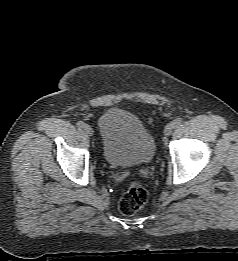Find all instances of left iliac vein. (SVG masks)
<instances>
[{
    "label": "left iliac vein",
    "instance_id": "1",
    "mask_svg": "<svg viewBox=\"0 0 238 261\" xmlns=\"http://www.w3.org/2000/svg\"><path fill=\"white\" fill-rule=\"evenodd\" d=\"M174 128H175V127H174L173 123L167 124V125L165 126V128H164V134H165L166 136L171 135V133L173 132Z\"/></svg>",
    "mask_w": 238,
    "mask_h": 261
}]
</instances>
